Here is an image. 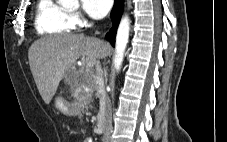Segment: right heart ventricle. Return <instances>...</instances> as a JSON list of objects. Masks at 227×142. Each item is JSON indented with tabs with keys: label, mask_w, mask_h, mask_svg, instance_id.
I'll return each instance as SVG.
<instances>
[{
	"label": "right heart ventricle",
	"mask_w": 227,
	"mask_h": 142,
	"mask_svg": "<svg viewBox=\"0 0 227 142\" xmlns=\"http://www.w3.org/2000/svg\"><path fill=\"white\" fill-rule=\"evenodd\" d=\"M34 26L40 35H60L74 28L71 14L56 0H38Z\"/></svg>",
	"instance_id": "1"
}]
</instances>
